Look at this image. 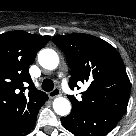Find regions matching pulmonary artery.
<instances>
[{"label":"pulmonary artery","mask_w":136,"mask_h":136,"mask_svg":"<svg viewBox=\"0 0 136 136\" xmlns=\"http://www.w3.org/2000/svg\"><path fill=\"white\" fill-rule=\"evenodd\" d=\"M64 87L67 91H69L68 87L66 86V84L64 83Z\"/></svg>","instance_id":"obj_1"}]
</instances>
